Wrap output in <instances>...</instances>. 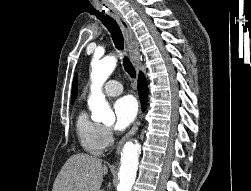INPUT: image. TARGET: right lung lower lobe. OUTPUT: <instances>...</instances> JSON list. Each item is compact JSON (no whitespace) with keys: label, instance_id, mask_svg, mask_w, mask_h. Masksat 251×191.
<instances>
[{"label":"right lung lower lobe","instance_id":"right-lung-lower-lobe-1","mask_svg":"<svg viewBox=\"0 0 251 191\" xmlns=\"http://www.w3.org/2000/svg\"><path fill=\"white\" fill-rule=\"evenodd\" d=\"M138 92L142 104L143 110L146 107V102H147V96H148V88H147V82L143 74H140L139 79H138Z\"/></svg>","mask_w":251,"mask_h":191}]
</instances>
